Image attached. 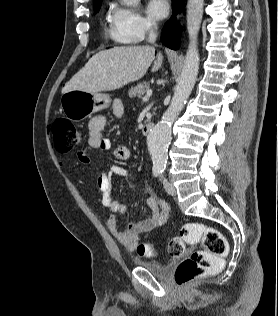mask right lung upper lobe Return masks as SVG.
Instances as JSON below:
<instances>
[{
  "instance_id": "right-lung-upper-lobe-1",
  "label": "right lung upper lobe",
  "mask_w": 278,
  "mask_h": 316,
  "mask_svg": "<svg viewBox=\"0 0 278 316\" xmlns=\"http://www.w3.org/2000/svg\"><path fill=\"white\" fill-rule=\"evenodd\" d=\"M99 1H101V0H93L94 4H96V3L99 2Z\"/></svg>"
}]
</instances>
